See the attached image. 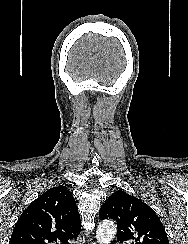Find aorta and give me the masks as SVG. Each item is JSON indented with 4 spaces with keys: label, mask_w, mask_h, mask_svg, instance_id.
<instances>
[{
    "label": "aorta",
    "mask_w": 188,
    "mask_h": 244,
    "mask_svg": "<svg viewBox=\"0 0 188 244\" xmlns=\"http://www.w3.org/2000/svg\"><path fill=\"white\" fill-rule=\"evenodd\" d=\"M117 232V226L112 220H105L99 224L96 239L99 244H109Z\"/></svg>",
    "instance_id": "obj_1"
}]
</instances>
